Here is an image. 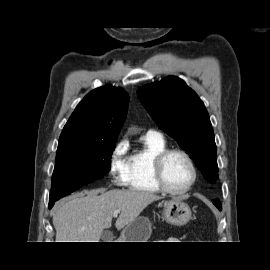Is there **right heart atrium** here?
Wrapping results in <instances>:
<instances>
[{
	"mask_svg": "<svg viewBox=\"0 0 270 270\" xmlns=\"http://www.w3.org/2000/svg\"><path fill=\"white\" fill-rule=\"evenodd\" d=\"M129 145L126 139L120 140L112 149L108 168L112 182L116 186L126 184L129 158L127 156Z\"/></svg>",
	"mask_w": 270,
	"mask_h": 270,
	"instance_id": "d8ad5b80",
	"label": "right heart atrium"
}]
</instances>
